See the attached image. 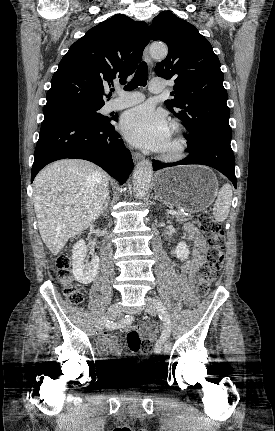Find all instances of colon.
<instances>
[{
	"label": "colon",
	"instance_id": "obj_1",
	"mask_svg": "<svg viewBox=\"0 0 275 431\" xmlns=\"http://www.w3.org/2000/svg\"><path fill=\"white\" fill-rule=\"evenodd\" d=\"M199 229L208 237L206 251V262L199 269L197 281V295H207L210 285L217 277L224 261L225 236L222 228L217 224L209 213H201L197 218ZM57 279L62 286L65 297L72 304H80L84 299L81 288L74 282L70 270V257L68 254L61 255L57 260ZM127 345L133 353L142 352L148 354L152 350L150 341L142 340L137 331L131 330L127 334Z\"/></svg>",
	"mask_w": 275,
	"mask_h": 431
}]
</instances>
